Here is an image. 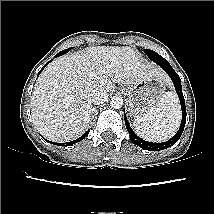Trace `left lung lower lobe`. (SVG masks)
<instances>
[{
    "mask_svg": "<svg viewBox=\"0 0 214 214\" xmlns=\"http://www.w3.org/2000/svg\"><path fill=\"white\" fill-rule=\"evenodd\" d=\"M160 67L167 72V74L170 76V78L172 79V81L174 83L176 92L180 99V104H181V109H182V121H181V125H180L178 132L171 139H169L166 142H162V143H151V142H147V141L139 138L133 132L128 121L126 120V116H125V112H124L125 124H126V128L128 129L131 141L135 145L140 146L143 149H146L148 151L163 150V149H166V148L174 145L181 137L183 130H184L185 122H186V107H185V100H184L183 93H182L181 79L177 75V73L174 71V69L171 67L170 64L161 65Z\"/></svg>",
    "mask_w": 214,
    "mask_h": 214,
    "instance_id": "0a47b994",
    "label": "left lung lower lobe"
}]
</instances>
